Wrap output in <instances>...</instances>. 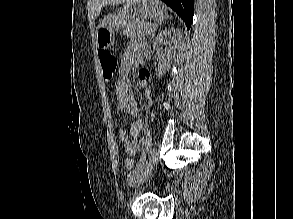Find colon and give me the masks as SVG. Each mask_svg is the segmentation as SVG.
I'll use <instances>...</instances> for the list:
<instances>
[{
  "label": "colon",
  "mask_w": 293,
  "mask_h": 219,
  "mask_svg": "<svg viewBox=\"0 0 293 219\" xmlns=\"http://www.w3.org/2000/svg\"><path fill=\"white\" fill-rule=\"evenodd\" d=\"M98 56L103 71V77L105 81L111 82L115 78L117 72V58L109 50H100ZM125 166L127 168H132L134 166V160L131 158L127 159L125 161Z\"/></svg>",
  "instance_id": "1"
}]
</instances>
